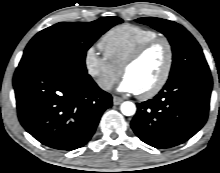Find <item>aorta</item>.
Segmentation results:
<instances>
[{"label":"aorta","instance_id":"obj_1","mask_svg":"<svg viewBox=\"0 0 220 173\" xmlns=\"http://www.w3.org/2000/svg\"><path fill=\"white\" fill-rule=\"evenodd\" d=\"M120 109L125 116H132L136 112L135 104L130 101L123 102Z\"/></svg>","mask_w":220,"mask_h":173}]
</instances>
